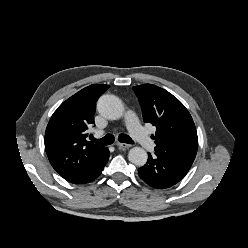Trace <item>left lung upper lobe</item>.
Wrapping results in <instances>:
<instances>
[{
    "instance_id": "1",
    "label": "left lung upper lobe",
    "mask_w": 248,
    "mask_h": 248,
    "mask_svg": "<svg viewBox=\"0 0 248 248\" xmlns=\"http://www.w3.org/2000/svg\"><path fill=\"white\" fill-rule=\"evenodd\" d=\"M146 123L156 126L155 154L192 165L198 149L193 119L168 91L152 84L134 86Z\"/></svg>"
}]
</instances>
